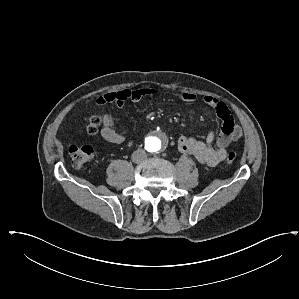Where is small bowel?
Instances as JSON below:
<instances>
[{
	"label": "small bowel",
	"instance_id": "1",
	"mask_svg": "<svg viewBox=\"0 0 299 299\" xmlns=\"http://www.w3.org/2000/svg\"><path fill=\"white\" fill-rule=\"evenodd\" d=\"M157 94L158 90L154 88L122 89L106 93L99 97L96 103L99 106L110 104L120 109L128 101L138 102L144 97L156 96ZM180 98L184 102H193L196 97L190 92H182ZM203 102L213 109L220 119V134L216 136L213 131H210L204 141L193 137L180 136L177 140V147L181 152L192 155L200 163L215 166L225 160L227 147L240 138L241 129L235 123L229 108L223 101L212 96H205ZM100 133L105 140L116 145L123 144L126 141V137L117 128L113 113L103 115ZM135 134L137 135V133Z\"/></svg>",
	"mask_w": 299,
	"mask_h": 299
}]
</instances>
